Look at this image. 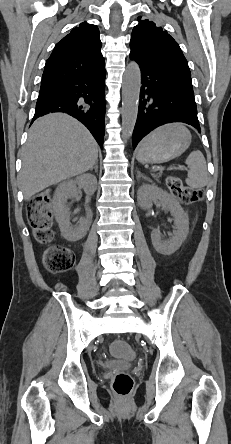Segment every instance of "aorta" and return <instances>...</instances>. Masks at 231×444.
Instances as JSON below:
<instances>
[{"label": "aorta", "instance_id": "obj_1", "mask_svg": "<svg viewBox=\"0 0 231 444\" xmlns=\"http://www.w3.org/2000/svg\"><path fill=\"white\" fill-rule=\"evenodd\" d=\"M140 87V68L131 61L126 67L122 86V137L126 140L132 136L136 124Z\"/></svg>", "mask_w": 231, "mask_h": 444}]
</instances>
